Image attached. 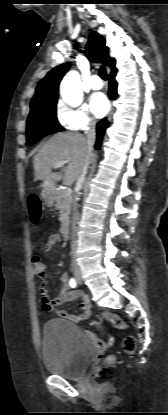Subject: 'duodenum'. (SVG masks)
Instances as JSON below:
<instances>
[{"label":"duodenum","instance_id":"1","mask_svg":"<svg viewBox=\"0 0 168 415\" xmlns=\"http://www.w3.org/2000/svg\"><path fill=\"white\" fill-rule=\"evenodd\" d=\"M68 233H69V227H68V225L67 224H63L60 227V234H61V236L62 237H67L68 236Z\"/></svg>","mask_w":168,"mask_h":415}]
</instances>
